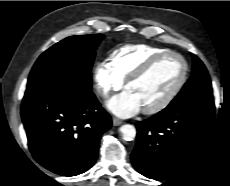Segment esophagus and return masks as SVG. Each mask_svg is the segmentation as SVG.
<instances>
[{
	"instance_id": "obj_1",
	"label": "esophagus",
	"mask_w": 230,
	"mask_h": 186,
	"mask_svg": "<svg viewBox=\"0 0 230 186\" xmlns=\"http://www.w3.org/2000/svg\"><path fill=\"white\" fill-rule=\"evenodd\" d=\"M112 122L114 126H119L122 124V121L117 118H113Z\"/></svg>"
}]
</instances>
